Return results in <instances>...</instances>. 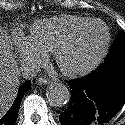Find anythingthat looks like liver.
Segmentation results:
<instances>
[{"label":"liver","mask_w":125,"mask_h":125,"mask_svg":"<svg viewBox=\"0 0 125 125\" xmlns=\"http://www.w3.org/2000/svg\"><path fill=\"white\" fill-rule=\"evenodd\" d=\"M19 70L11 52L10 36L0 26V117L17 96Z\"/></svg>","instance_id":"obj_1"}]
</instances>
